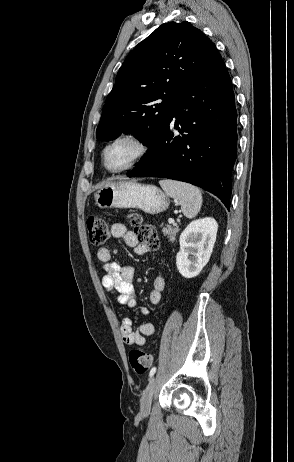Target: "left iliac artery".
<instances>
[{
  "instance_id": "44dca946",
  "label": "left iliac artery",
  "mask_w": 294,
  "mask_h": 462,
  "mask_svg": "<svg viewBox=\"0 0 294 462\" xmlns=\"http://www.w3.org/2000/svg\"><path fill=\"white\" fill-rule=\"evenodd\" d=\"M156 370H157L156 367H153V368L150 370V373H149V377H150V378L156 373Z\"/></svg>"
}]
</instances>
